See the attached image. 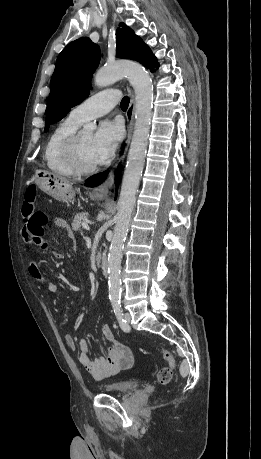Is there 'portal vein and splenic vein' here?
Masks as SVG:
<instances>
[{"mask_svg":"<svg viewBox=\"0 0 261 459\" xmlns=\"http://www.w3.org/2000/svg\"><path fill=\"white\" fill-rule=\"evenodd\" d=\"M82 225H83V227H84L85 229L89 230V226H88L87 223H83Z\"/></svg>","mask_w":261,"mask_h":459,"instance_id":"1","label":"portal vein and splenic vein"}]
</instances>
